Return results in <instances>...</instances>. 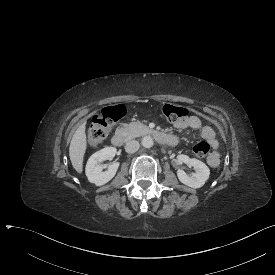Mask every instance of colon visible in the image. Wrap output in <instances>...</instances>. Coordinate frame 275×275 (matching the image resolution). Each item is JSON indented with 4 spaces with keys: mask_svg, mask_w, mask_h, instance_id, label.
Wrapping results in <instances>:
<instances>
[{
    "mask_svg": "<svg viewBox=\"0 0 275 275\" xmlns=\"http://www.w3.org/2000/svg\"><path fill=\"white\" fill-rule=\"evenodd\" d=\"M125 113L122 104H111L104 107L90 121L88 126V142L96 147L103 143L110 127L121 120ZM188 109L182 106H176L171 103H165L162 106V117L168 122H174L186 118ZM194 154L197 157H205L210 151V144L201 140L193 147Z\"/></svg>",
    "mask_w": 275,
    "mask_h": 275,
    "instance_id": "colon-1",
    "label": "colon"
}]
</instances>
